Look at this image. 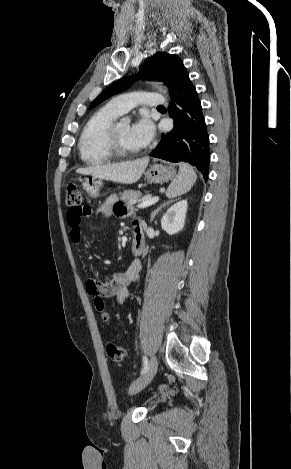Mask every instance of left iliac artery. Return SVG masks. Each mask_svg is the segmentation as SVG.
<instances>
[{"mask_svg": "<svg viewBox=\"0 0 291 469\" xmlns=\"http://www.w3.org/2000/svg\"><path fill=\"white\" fill-rule=\"evenodd\" d=\"M148 368V359L144 356L143 357V368H142V371L141 373L143 374Z\"/></svg>", "mask_w": 291, "mask_h": 469, "instance_id": "44dca946", "label": "left iliac artery"}]
</instances>
